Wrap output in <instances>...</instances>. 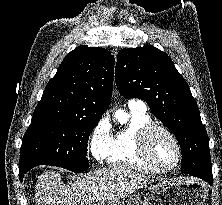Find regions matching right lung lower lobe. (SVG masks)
Instances as JSON below:
<instances>
[{"label": "right lung lower lobe", "instance_id": "98d812e1", "mask_svg": "<svg viewBox=\"0 0 222 205\" xmlns=\"http://www.w3.org/2000/svg\"><path fill=\"white\" fill-rule=\"evenodd\" d=\"M37 165H29V166H19V177H20V180L22 181L23 177H24V174L31 170L33 167H35Z\"/></svg>", "mask_w": 222, "mask_h": 205}]
</instances>
